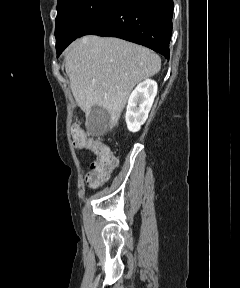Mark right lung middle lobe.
<instances>
[{
	"mask_svg": "<svg viewBox=\"0 0 240 288\" xmlns=\"http://www.w3.org/2000/svg\"><path fill=\"white\" fill-rule=\"evenodd\" d=\"M113 0H58L56 17L57 56L90 24Z\"/></svg>",
	"mask_w": 240,
	"mask_h": 288,
	"instance_id": "obj_1",
	"label": "right lung middle lobe"
}]
</instances>
